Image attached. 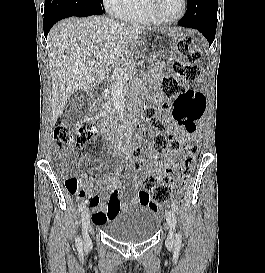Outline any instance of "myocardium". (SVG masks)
<instances>
[{
    "label": "myocardium",
    "instance_id": "f54148a6",
    "mask_svg": "<svg viewBox=\"0 0 265 273\" xmlns=\"http://www.w3.org/2000/svg\"><path fill=\"white\" fill-rule=\"evenodd\" d=\"M147 2H148L149 12L151 13L154 20L157 21L159 24H170V23H176L180 21L185 16L187 12V8H188L187 0H182V11L180 15L174 19H166L162 17L158 12V9H157L158 0H147Z\"/></svg>",
    "mask_w": 265,
    "mask_h": 273
}]
</instances>
